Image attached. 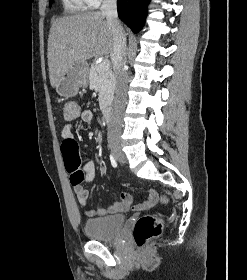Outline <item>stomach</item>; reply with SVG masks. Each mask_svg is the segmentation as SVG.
I'll use <instances>...</instances> for the list:
<instances>
[{"label":"stomach","mask_w":247,"mask_h":280,"mask_svg":"<svg viewBox=\"0 0 247 280\" xmlns=\"http://www.w3.org/2000/svg\"><path fill=\"white\" fill-rule=\"evenodd\" d=\"M88 71L89 65L87 62L74 64L57 85L58 94L65 98L77 95L80 88L87 86Z\"/></svg>","instance_id":"obj_1"}]
</instances>
